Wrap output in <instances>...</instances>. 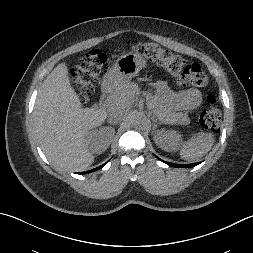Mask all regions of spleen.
<instances>
[{"mask_svg": "<svg viewBox=\"0 0 253 253\" xmlns=\"http://www.w3.org/2000/svg\"><path fill=\"white\" fill-rule=\"evenodd\" d=\"M173 142L175 146L179 147L182 159L194 161L210 151L214 143V136L212 133L201 132L186 142L180 136H174Z\"/></svg>", "mask_w": 253, "mask_h": 253, "instance_id": "3e777b00", "label": "spleen"}]
</instances>
